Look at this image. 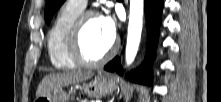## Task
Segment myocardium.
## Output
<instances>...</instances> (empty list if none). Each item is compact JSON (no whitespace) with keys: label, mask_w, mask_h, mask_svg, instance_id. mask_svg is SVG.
Wrapping results in <instances>:
<instances>
[{"label":"myocardium","mask_w":221,"mask_h":102,"mask_svg":"<svg viewBox=\"0 0 221 102\" xmlns=\"http://www.w3.org/2000/svg\"><path fill=\"white\" fill-rule=\"evenodd\" d=\"M99 14L94 11H85L81 13L75 20L68 37V52L73 61L80 66L94 68L101 66L107 62L116 50V42L113 41L107 52L98 59H89L85 56L82 49V32L87 23L91 18H99Z\"/></svg>","instance_id":"1"}]
</instances>
